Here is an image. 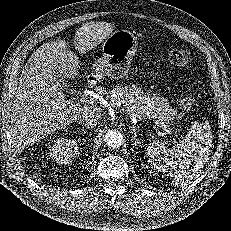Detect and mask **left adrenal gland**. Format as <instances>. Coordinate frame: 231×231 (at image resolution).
<instances>
[{
	"instance_id": "1",
	"label": "left adrenal gland",
	"mask_w": 231,
	"mask_h": 231,
	"mask_svg": "<svg viewBox=\"0 0 231 231\" xmlns=\"http://www.w3.org/2000/svg\"><path fill=\"white\" fill-rule=\"evenodd\" d=\"M130 128V130L132 131V133L134 134V136H133V147H135L136 148V146H137V143H138V139H137V137H138V135H137V128L133 125V126H130L129 127Z\"/></svg>"
}]
</instances>
